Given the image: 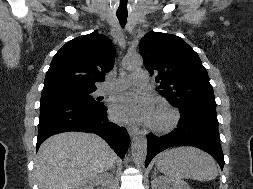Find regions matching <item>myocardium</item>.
I'll list each match as a JSON object with an SVG mask.
<instances>
[{
	"label": "myocardium",
	"instance_id": "myocardium-1",
	"mask_svg": "<svg viewBox=\"0 0 253 189\" xmlns=\"http://www.w3.org/2000/svg\"><path fill=\"white\" fill-rule=\"evenodd\" d=\"M155 111L163 112L165 118L161 122L150 121L149 128L158 134H165L175 129L180 121L179 111L166 101H159Z\"/></svg>",
	"mask_w": 253,
	"mask_h": 189
}]
</instances>
